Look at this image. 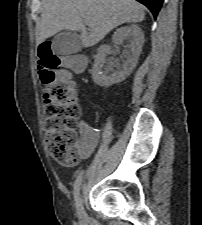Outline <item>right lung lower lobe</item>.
<instances>
[{"instance_id": "obj_1", "label": "right lung lower lobe", "mask_w": 202, "mask_h": 225, "mask_svg": "<svg viewBox=\"0 0 202 225\" xmlns=\"http://www.w3.org/2000/svg\"><path fill=\"white\" fill-rule=\"evenodd\" d=\"M137 1L148 7V9L152 12L154 18L157 17V14L163 4V0H137Z\"/></svg>"}]
</instances>
